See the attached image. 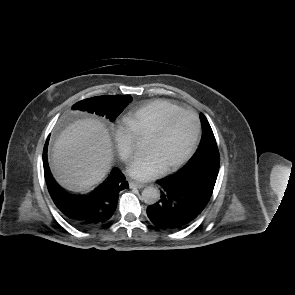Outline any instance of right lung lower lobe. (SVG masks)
<instances>
[{
    "label": "right lung lower lobe",
    "mask_w": 295,
    "mask_h": 295,
    "mask_svg": "<svg viewBox=\"0 0 295 295\" xmlns=\"http://www.w3.org/2000/svg\"><path fill=\"white\" fill-rule=\"evenodd\" d=\"M47 146L48 140L43 151L44 175L51 198L65 219L80 229H90L105 223L116 208L119 192L129 187L121 171L112 170L107 179L89 195L70 194L51 177Z\"/></svg>",
    "instance_id": "obj_1"
}]
</instances>
